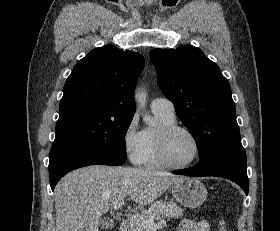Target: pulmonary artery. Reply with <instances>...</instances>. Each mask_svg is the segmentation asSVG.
Here are the masks:
<instances>
[{"instance_id": "1", "label": "pulmonary artery", "mask_w": 280, "mask_h": 231, "mask_svg": "<svg viewBox=\"0 0 280 231\" xmlns=\"http://www.w3.org/2000/svg\"><path fill=\"white\" fill-rule=\"evenodd\" d=\"M151 110L154 113L174 117L175 107L172 101L167 98H156L151 102Z\"/></svg>"}]
</instances>
